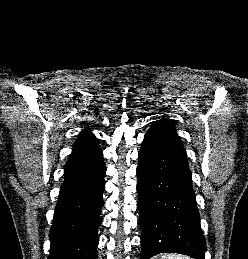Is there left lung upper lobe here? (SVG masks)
I'll list each match as a JSON object with an SVG mask.
<instances>
[{
	"label": "left lung upper lobe",
	"mask_w": 248,
	"mask_h": 259,
	"mask_svg": "<svg viewBox=\"0 0 248 259\" xmlns=\"http://www.w3.org/2000/svg\"><path fill=\"white\" fill-rule=\"evenodd\" d=\"M144 140L166 147L187 160L186 151L169 119L164 118L154 121L146 133Z\"/></svg>",
	"instance_id": "left-lung-upper-lobe-1"
}]
</instances>
